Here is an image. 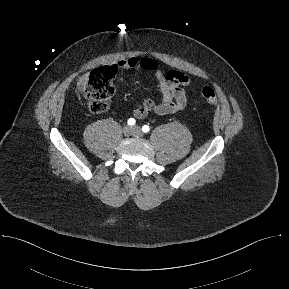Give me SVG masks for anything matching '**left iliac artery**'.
I'll use <instances>...</instances> for the list:
<instances>
[{
  "label": "left iliac artery",
  "mask_w": 289,
  "mask_h": 289,
  "mask_svg": "<svg viewBox=\"0 0 289 289\" xmlns=\"http://www.w3.org/2000/svg\"><path fill=\"white\" fill-rule=\"evenodd\" d=\"M149 130H150V128H149L148 125H144V126L142 127V131H143L144 133H148Z\"/></svg>",
  "instance_id": "obj_1"
}]
</instances>
